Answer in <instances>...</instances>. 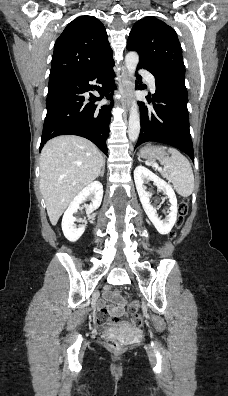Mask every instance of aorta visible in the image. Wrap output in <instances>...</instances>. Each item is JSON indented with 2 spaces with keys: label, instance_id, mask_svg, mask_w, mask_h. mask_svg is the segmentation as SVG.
<instances>
[{
  "label": "aorta",
  "instance_id": "obj_1",
  "mask_svg": "<svg viewBox=\"0 0 228 396\" xmlns=\"http://www.w3.org/2000/svg\"><path fill=\"white\" fill-rule=\"evenodd\" d=\"M139 62V55L131 51L127 53L125 57V65L129 74V77L134 80V74L136 67ZM140 133V116L137 102L135 100L131 103L130 114H129V124H128V135L132 142H135Z\"/></svg>",
  "mask_w": 228,
  "mask_h": 396
}]
</instances>
